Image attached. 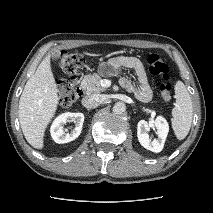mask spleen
<instances>
[{"mask_svg":"<svg viewBox=\"0 0 213 213\" xmlns=\"http://www.w3.org/2000/svg\"><path fill=\"white\" fill-rule=\"evenodd\" d=\"M176 103L172 109V128L178 140H183L189 133L193 118V107L190 94L184 83L175 85Z\"/></svg>","mask_w":213,"mask_h":213,"instance_id":"spleen-1","label":"spleen"}]
</instances>
